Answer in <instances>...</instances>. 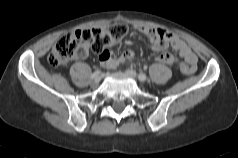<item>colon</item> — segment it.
<instances>
[{"instance_id": "5ec220e1", "label": "colon", "mask_w": 238, "mask_h": 158, "mask_svg": "<svg viewBox=\"0 0 238 158\" xmlns=\"http://www.w3.org/2000/svg\"><path fill=\"white\" fill-rule=\"evenodd\" d=\"M126 31V27L123 25H112L67 33L53 46L48 56V62L53 67H60L75 57L84 56L88 49L101 54L108 46L119 41ZM179 67L184 76H190L195 71L194 66L183 61L179 63Z\"/></svg>"}]
</instances>
